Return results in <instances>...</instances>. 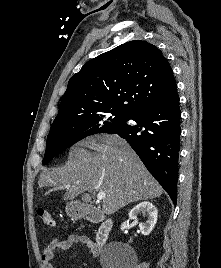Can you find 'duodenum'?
<instances>
[{
  "label": "duodenum",
  "instance_id": "duodenum-1",
  "mask_svg": "<svg viewBox=\"0 0 221 268\" xmlns=\"http://www.w3.org/2000/svg\"><path fill=\"white\" fill-rule=\"evenodd\" d=\"M81 216L93 223H100V227L96 233V245L100 248L107 241L112 229V221L105 219L102 213L90 206H86L81 210Z\"/></svg>",
  "mask_w": 221,
  "mask_h": 268
}]
</instances>
